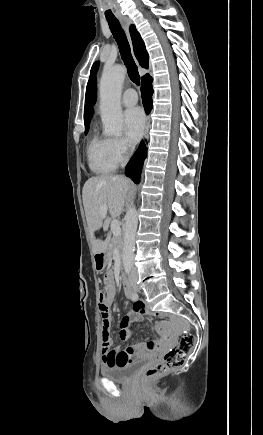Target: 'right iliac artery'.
<instances>
[{
    "mask_svg": "<svg viewBox=\"0 0 263 435\" xmlns=\"http://www.w3.org/2000/svg\"><path fill=\"white\" fill-rule=\"evenodd\" d=\"M129 297H130L133 301H137V300H138V295H137L135 292H132V291H131Z\"/></svg>",
    "mask_w": 263,
    "mask_h": 435,
    "instance_id": "1",
    "label": "right iliac artery"
}]
</instances>
